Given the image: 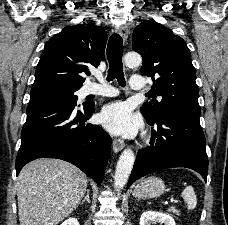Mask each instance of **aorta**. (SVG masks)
Returning <instances> with one entry per match:
<instances>
[{"label": "aorta", "mask_w": 228, "mask_h": 225, "mask_svg": "<svg viewBox=\"0 0 228 225\" xmlns=\"http://www.w3.org/2000/svg\"><path fill=\"white\" fill-rule=\"evenodd\" d=\"M124 62L127 66H140L142 62L141 54L138 52H127L124 56ZM135 157L131 149H125L119 157L115 169L114 189L121 191L125 187L133 169Z\"/></svg>", "instance_id": "762f6f07"}]
</instances>
